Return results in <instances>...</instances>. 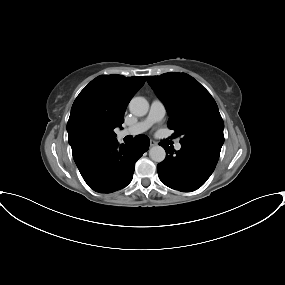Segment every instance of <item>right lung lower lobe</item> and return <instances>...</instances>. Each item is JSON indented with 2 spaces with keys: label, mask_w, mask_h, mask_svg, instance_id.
I'll list each match as a JSON object with an SVG mask.
<instances>
[{
  "label": "right lung lower lobe",
  "mask_w": 285,
  "mask_h": 285,
  "mask_svg": "<svg viewBox=\"0 0 285 285\" xmlns=\"http://www.w3.org/2000/svg\"><path fill=\"white\" fill-rule=\"evenodd\" d=\"M148 148L149 139L145 135H138L129 145H119L115 138L88 147L73 158L90 188L99 193H111L130 183L136 161Z\"/></svg>",
  "instance_id": "right-lung-lower-lobe-1"
}]
</instances>
